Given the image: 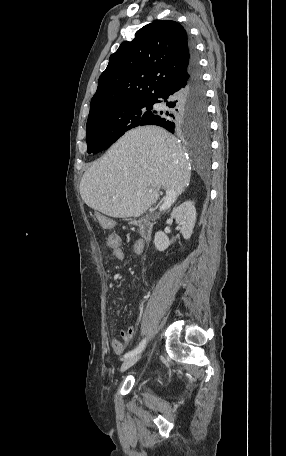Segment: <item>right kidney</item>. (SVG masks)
<instances>
[{"instance_id": "1", "label": "right kidney", "mask_w": 286, "mask_h": 456, "mask_svg": "<svg viewBox=\"0 0 286 456\" xmlns=\"http://www.w3.org/2000/svg\"><path fill=\"white\" fill-rule=\"evenodd\" d=\"M171 217L181 226L180 231L184 239H189L196 222L194 203L190 200L183 202L172 211ZM154 244L157 250L164 251L170 246L171 242L164 232L158 231L154 237Z\"/></svg>"}]
</instances>
